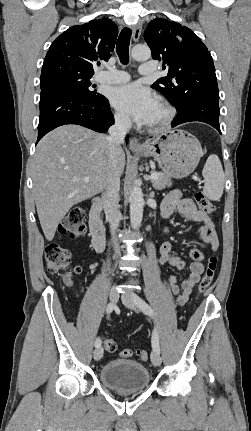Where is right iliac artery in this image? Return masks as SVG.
I'll use <instances>...</instances> for the list:
<instances>
[{"instance_id": "82829eb1", "label": "right iliac artery", "mask_w": 251, "mask_h": 431, "mask_svg": "<svg viewBox=\"0 0 251 431\" xmlns=\"http://www.w3.org/2000/svg\"><path fill=\"white\" fill-rule=\"evenodd\" d=\"M114 307H115V306H114V304H113V303H109V304H108V306H107V308H106V313H107V314H110V313L113 311ZM94 345H95V347H99V346L101 345V340H100V338H97V339L95 340Z\"/></svg>"}]
</instances>
